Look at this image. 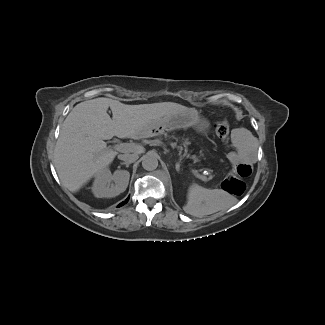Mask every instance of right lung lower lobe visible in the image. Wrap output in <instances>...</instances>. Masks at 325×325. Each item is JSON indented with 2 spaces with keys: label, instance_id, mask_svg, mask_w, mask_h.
Here are the masks:
<instances>
[{
  "label": "right lung lower lobe",
  "instance_id": "obj_1",
  "mask_svg": "<svg viewBox=\"0 0 325 325\" xmlns=\"http://www.w3.org/2000/svg\"><path fill=\"white\" fill-rule=\"evenodd\" d=\"M127 201H128V198H127L126 202H127ZM126 202H125V203H126ZM122 205H123V202L120 203L118 206L120 207V206H122Z\"/></svg>",
  "mask_w": 325,
  "mask_h": 325
}]
</instances>
